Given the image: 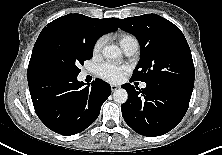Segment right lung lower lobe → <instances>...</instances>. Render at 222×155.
Here are the masks:
<instances>
[{
  "label": "right lung lower lobe",
  "mask_w": 222,
  "mask_h": 155,
  "mask_svg": "<svg viewBox=\"0 0 222 155\" xmlns=\"http://www.w3.org/2000/svg\"><path fill=\"white\" fill-rule=\"evenodd\" d=\"M76 78H56L46 94H31L39 119L61 135L77 134L98 117L104 101L110 96V86L100 79L91 86Z\"/></svg>",
  "instance_id": "obj_1"
}]
</instances>
